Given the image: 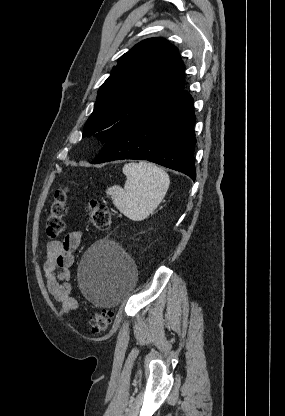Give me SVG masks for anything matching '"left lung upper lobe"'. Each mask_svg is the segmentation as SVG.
<instances>
[{
	"instance_id": "5c2ea615",
	"label": "left lung upper lobe",
	"mask_w": 285,
	"mask_h": 416,
	"mask_svg": "<svg viewBox=\"0 0 285 416\" xmlns=\"http://www.w3.org/2000/svg\"><path fill=\"white\" fill-rule=\"evenodd\" d=\"M184 63L162 38L136 44L118 60L98 91L82 137L106 143L138 118L162 107L184 90Z\"/></svg>"
}]
</instances>
